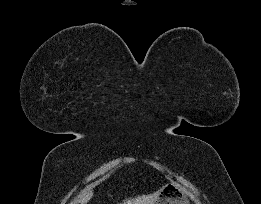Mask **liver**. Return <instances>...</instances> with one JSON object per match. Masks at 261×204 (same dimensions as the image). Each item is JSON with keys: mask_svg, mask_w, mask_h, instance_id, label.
Instances as JSON below:
<instances>
[{"mask_svg": "<svg viewBox=\"0 0 261 204\" xmlns=\"http://www.w3.org/2000/svg\"><path fill=\"white\" fill-rule=\"evenodd\" d=\"M159 193L160 191H157L154 192L153 194L142 195V196L135 197L133 199H128L123 201V204H153V202L157 200V198L159 197ZM92 196H93V191L89 186L80 193L76 202H81L82 204H86L92 198ZM76 202L72 204H76Z\"/></svg>", "mask_w": 261, "mask_h": 204, "instance_id": "1", "label": "liver"}]
</instances>
